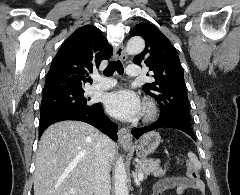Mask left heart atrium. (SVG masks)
<instances>
[{
  "label": "left heart atrium",
  "mask_w": 240,
  "mask_h": 195,
  "mask_svg": "<svg viewBox=\"0 0 240 195\" xmlns=\"http://www.w3.org/2000/svg\"><path fill=\"white\" fill-rule=\"evenodd\" d=\"M108 111L125 121L136 119L141 110L137 94L127 89H118L110 93L106 98Z\"/></svg>",
  "instance_id": "left-heart-atrium-1"
}]
</instances>
